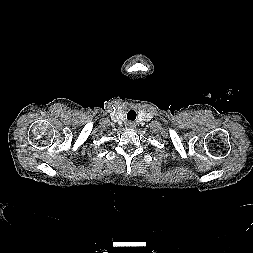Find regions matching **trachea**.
I'll return each mask as SVG.
<instances>
[{
  "instance_id": "1",
  "label": "trachea",
  "mask_w": 253,
  "mask_h": 253,
  "mask_svg": "<svg viewBox=\"0 0 253 253\" xmlns=\"http://www.w3.org/2000/svg\"><path fill=\"white\" fill-rule=\"evenodd\" d=\"M136 112L135 110L131 109L128 113H127V119L134 121L136 119Z\"/></svg>"
}]
</instances>
